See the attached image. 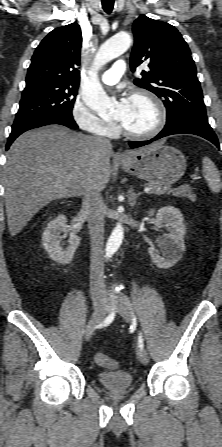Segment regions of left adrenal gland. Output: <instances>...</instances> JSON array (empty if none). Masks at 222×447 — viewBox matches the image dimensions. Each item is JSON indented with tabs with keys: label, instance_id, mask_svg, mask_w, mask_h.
Segmentation results:
<instances>
[{
	"label": "left adrenal gland",
	"instance_id": "1",
	"mask_svg": "<svg viewBox=\"0 0 222 447\" xmlns=\"http://www.w3.org/2000/svg\"><path fill=\"white\" fill-rule=\"evenodd\" d=\"M141 195V192L135 193L133 188L129 190L128 202L130 206L134 207L136 205L137 198Z\"/></svg>",
	"mask_w": 222,
	"mask_h": 447
}]
</instances>
